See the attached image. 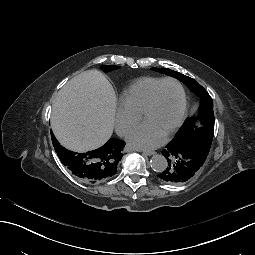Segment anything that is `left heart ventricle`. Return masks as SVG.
<instances>
[{
    "instance_id": "b2bd125f",
    "label": "left heart ventricle",
    "mask_w": 255,
    "mask_h": 255,
    "mask_svg": "<svg viewBox=\"0 0 255 255\" xmlns=\"http://www.w3.org/2000/svg\"><path fill=\"white\" fill-rule=\"evenodd\" d=\"M181 104V92L176 84L161 85L152 108L141 120L142 124L165 138L178 120Z\"/></svg>"
}]
</instances>
